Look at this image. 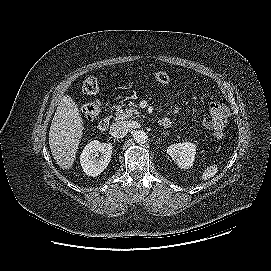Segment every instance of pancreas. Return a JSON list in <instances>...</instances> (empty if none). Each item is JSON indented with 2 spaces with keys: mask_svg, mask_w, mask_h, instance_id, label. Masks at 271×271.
<instances>
[{
  "mask_svg": "<svg viewBox=\"0 0 271 271\" xmlns=\"http://www.w3.org/2000/svg\"><path fill=\"white\" fill-rule=\"evenodd\" d=\"M140 111L138 106L134 103H130L128 107L122 109L121 106L116 107L115 119L116 120H128L139 117Z\"/></svg>",
  "mask_w": 271,
  "mask_h": 271,
  "instance_id": "obj_1",
  "label": "pancreas"
}]
</instances>
